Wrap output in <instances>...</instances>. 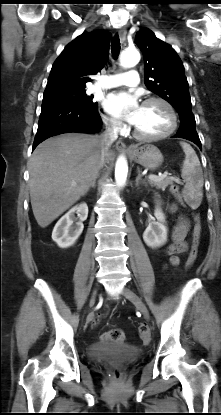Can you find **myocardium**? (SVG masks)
<instances>
[{
  "label": "myocardium",
  "mask_w": 221,
  "mask_h": 415,
  "mask_svg": "<svg viewBox=\"0 0 221 415\" xmlns=\"http://www.w3.org/2000/svg\"><path fill=\"white\" fill-rule=\"evenodd\" d=\"M152 102L161 103L167 108V110L170 114V118H171L170 127L163 133L156 134V135H147V134H143L140 131H138L137 128L134 126L133 134L138 139L146 140V141L162 140V139H165V138L171 136L176 131V129L178 127L177 112H176L174 106L168 100H166L162 97L153 96V97H149V98L145 99L143 101V105L144 104H149V103H152Z\"/></svg>",
  "instance_id": "1"
}]
</instances>
